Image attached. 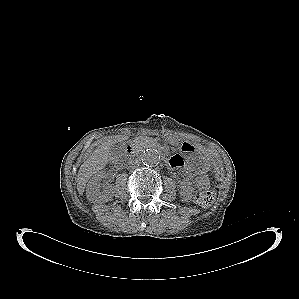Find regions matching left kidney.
<instances>
[{"mask_svg": "<svg viewBox=\"0 0 299 299\" xmlns=\"http://www.w3.org/2000/svg\"><path fill=\"white\" fill-rule=\"evenodd\" d=\"M181 196L185 201H189L192 198L193 188L190 182L182 181L181 182Z\"/></svg>", "mask_w": 299, "mask_h": 299, "instance_id": "obj_1", "label": "left kidney"}]
</instances>
